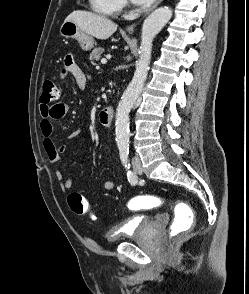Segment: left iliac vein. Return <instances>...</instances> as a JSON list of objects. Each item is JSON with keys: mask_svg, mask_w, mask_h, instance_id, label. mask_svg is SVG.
Listing matches in <instances>:
<instances>
[{"mask_svg": "<svg viewBox=\"0 0 249 294\" xmlns=\"http://www.w3.org/2000/svg\"><path fill=\"white\" fill-rule=\"evenodd\" d=\"M132 166H133L134 171L137 174H140L141 175L143 173L141 161H140V159H139L138 156H134L133 157V159H132Z\"/></svg>", "mask_w": 249, "mask_h": 294, "instance_id": "4c4485c4", "label": "left iliac vein"}]
</instances>
